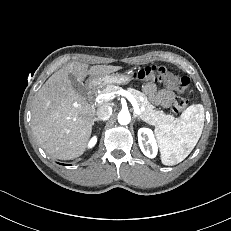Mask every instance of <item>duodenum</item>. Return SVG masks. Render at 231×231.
<instances>
[{
	"label": "duodenum",
	"instance_id": "duodenum-1",
	"mask_svg": "<svg viewBox=\"0 0 231 231\" xmlns=\"http://www.w3.org/2000/svg\"><path fill=\"white\" fill-rule=\"evenodd\" d=\"M94 88H95L94 84H93V83H90V84L88 85L89 93H92V91L94 90Z\"/></svg>",
	"mask_w": 231,
	"mask_h": 231
}]
</instances>
